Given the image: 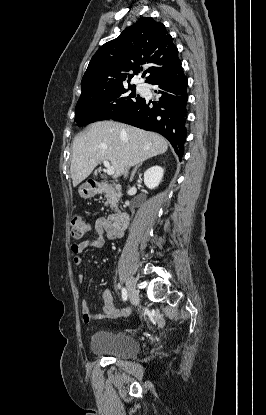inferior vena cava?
<instances>
[{
    "instance_id": "inferior-vena-cava-1",
    "label": "inferior vena cava",
    "mask_w": 266,
    "mask_h": 415,
    "mask_svg": "<svg viewBox=\"0 0 266 415\" xmlns=\"http://www.w3.org/2000/svg\"><path fill=\"white\" fill-rule=\"evenodd\" d=\"M124 175H125V176H127V175H128V170H126V171L124 172Z\"/></svg>"
}]
</instances>
